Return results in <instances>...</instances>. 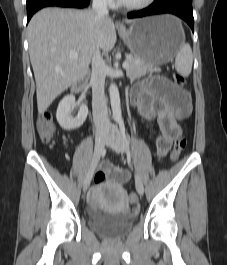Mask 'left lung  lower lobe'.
Here are the masks:
<instances>
[{"instance_id": "left-lung-lower-lobe-1", "label": "left lung lower lobe", "mask_w": 227, "mask_h": 265, "mask_svg": "<svg viewBox=\"0 0 227 265\" xmlns=\"http://www.w3.org/2000/svg\"><path fill=\"white\" fill-rule=\"evenodd\" d=\"M170 13L186 21L194 32L192 0H155L149 7L128 13V18H139L155 14Z\"/></svg>"}]
</instances>
